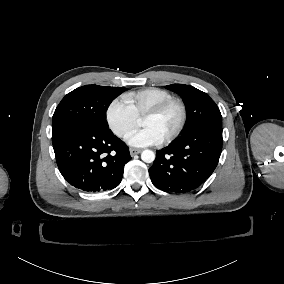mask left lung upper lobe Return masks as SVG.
<instances>
[{"label": "left lung upper lobe", "mask_w": 284, "mask_h": 284, "mask_svg": "<svg viewBox=\"0 0 284 284\" xmlns=\"http://www.w3.org/2000/svg\"><path fill=\"white\" fill-rule=\"evenodd\" d=\"M166 88L179 94L186 105L187 123L184 132L208 125L222 126L220 110L209 95L184 84L167 85Z\"/></svg>", "instance_id": "1"}]
</instances>
